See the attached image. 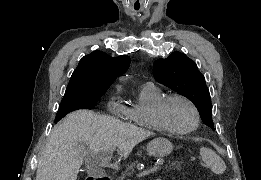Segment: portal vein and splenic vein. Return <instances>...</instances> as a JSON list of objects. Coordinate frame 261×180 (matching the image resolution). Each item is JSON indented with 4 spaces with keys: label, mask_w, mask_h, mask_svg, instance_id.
<instances>
[{
    "label": "portal vein and splenic vein",
    "mask_w": 261,
    "mask_h": 180,
    "mask_svg": "<svg viewBox=\"0 0 261 180\" xmlns=\"http://www.w3.org/2000/svg\"><path fill=\"white\" fill-rule=\"evenodd\" d=\"M111 152H114V150H110V152H105V156H108V154H111ZM165 166L164 162H159L158 165H153L150 170H143L141 174H137V179H142V177H146V175H151L152 173H156L157 170L162 169V167Z\"/></svg>",
    "instance_id": "1"
}]
</instances>
